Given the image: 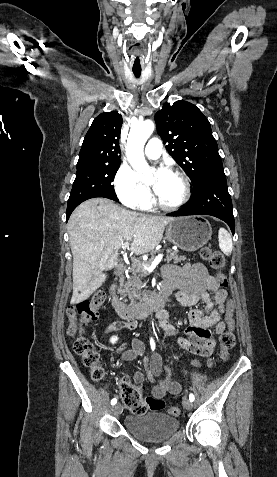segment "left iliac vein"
I'll list each match as a JSON object with an SVG mask.
<instances>
[{
    "instance_id": "obj_1",
    "label": "left iliac vein",
    "mask_w": 277,
    "mask_h": 477,
    "mask_svg": "<svg viewBox=\"0 0 277 477\" xmlns=\"http://www.w3.org/2000/svg\"><path fill=\"white\" fill-rule=\"evenodd\" d=\"M183 406L186 410H191L193 407V403L189 399L185 398L183 399Z\"/></svg>"
}]
</instances>
